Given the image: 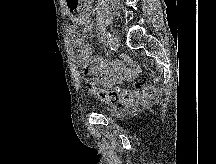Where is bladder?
<instances>
[{"instance_id": "obj_1", "label": "bladder", "mask_w": 216, "mask_h": 164, "mask_svg": "<svg viewBox=\"0 0 216 164\" xmlns=\"http://www.w3.org/2000/svg\"><path fill=\"white\" fill-rule=\"evenodd\" d=\"M128 109H129L128 106H123L120 108L112 109V110H110V116L111 117L122 116L128 112Z\"/></svg>"}]
</instances>
